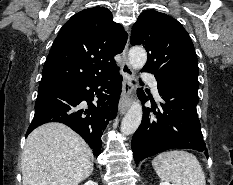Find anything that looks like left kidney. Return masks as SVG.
Instances as JSON below:
<instances>
[{
	"label": "left kidney",
	"instance_id": "left-kidney-1",
	"mask_svg": "<svg viewBox=\"0 0 233 185\" xmlns=\"http://www.w3.org/2000/svg\"><path fill=\"white\" fill-rule=\"evenodd\" d=\"M160 185H172V184H170L168 182H161Z\"/></svg>",
	"mask_w": 233,
	"mask_h": 185
}]
</instances>
